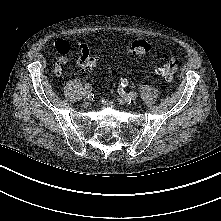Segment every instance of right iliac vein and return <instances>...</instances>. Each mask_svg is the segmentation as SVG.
<instances>
[{"label": "right iliac vein", "mask_w": 221, "mask_h": 221, "mask_svg": "<svg viewBox=\"0 0 221 221\" xmlns=\"http://www.w3.org/2000/svg\"><path fill=\"white\" fill-rule=\"evenodd\" d=\"M89 94H90V91H88V90H84V92H83V97L85 98V99H87V98H89Z\"/></svg>", "instance_id": "63e3f726"}]
</instances>
